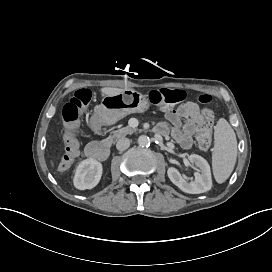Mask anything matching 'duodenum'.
Returning a JSON list of instances; mask_svg holds the SVG:
<instances>
[{
  "mask_svg": "<svg viewBox=\"0 0 272 272\" xmlns=\"http://www.w3.org/2000/svg\"><path fill=\"white\" fill-rule=\"evenodd\" d=\"M109 121V115L106 109L99 108L94 113L91 126L94 131H100L102 127L107 125ZM86 156L90 159L104 161L110 155V146L107 143L91 142L86 146Z\"/></svg>",
  "mask_w": 272,
  "mask_h": 272,
  "instance_id": "obj_1",
  "label": "duodenum"
}]
</instances>
